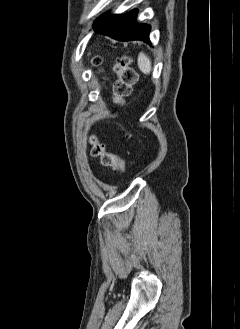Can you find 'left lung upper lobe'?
<instances>
[{
  "instance_id": "obj_1",
  "label": "left lung upper lobe",
  "mask_w": 240,
  "mask_h": 329,
  "mask_svg": "<svg viewBox=\"0 0 240 329\" xmlns=\"http://www.w3.org/2000/svg\"><path fill=\"white\" fill-rule=\"evenodd\" d=\"M106 17V14L100 16L96 21H95V25L98 24L102 19H104Z\"/></svg>"
}]
</instances>
